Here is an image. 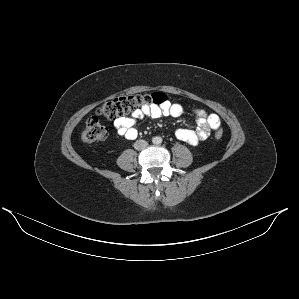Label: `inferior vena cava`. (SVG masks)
Instances as JSON below:
<instances>
[{
	"mask_svg": "<svg viewBox=\"0 0 299 299\" xmlns=\"http://www.w3.org/2000/svg\"><path fill=\"white\" fill-rule=\"evenodd\" d=\"M147 146H148V143H147V141H145V140H137V141L134 143V148H135L136 150H143V149H145Z\"/></svg>",
	"mask_w": 299,
	"mask_h": 299,
	"instance_id": "inferior-vena-cava-1",
	"label": "inferior vena cava"
}]
</instances>
